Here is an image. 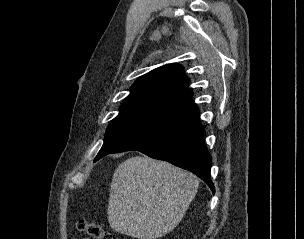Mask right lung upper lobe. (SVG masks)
<instances>
[{
	"mask_svg": "<svg viewBox=\"0 0 304 239\" xmlns=\"http://www.w3.org/2000/svg\"><path fill=\"white\" fill-rule=\"evenodd\" d=\"M189 79L179 64H167L143 75L131 87L120 112H145L175 120L197 109Z\"/></svg>",
	"mask_w": 304,
	"mask_h": 239,
	"instance_id": "cb5924a9",
	"label": "right lung upper lobe"
}]
</instances>
